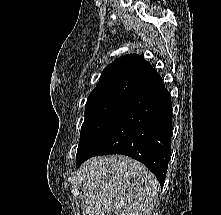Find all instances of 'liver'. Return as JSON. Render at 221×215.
<instances>
[{"instance_id": "1", "label": "liver", "mask_w": 221, "mask_h": 215, "mask_svg": "<svg viewBox=\"0 0 221 215\" xmlns=\"http://www.w3.org/2000/svg\"><path fill=\"white\" fill-rule=\"evenodd\" d=\"M84 215H151L160 185L142 163L128 156L94 157L80 168Z\"/></svg>"}]
</instances>
